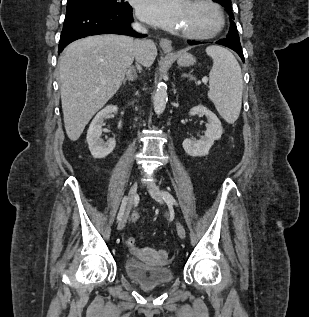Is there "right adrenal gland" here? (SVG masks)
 <instances>
[{"label": "right adrenal gland", "mask_w": 309, "mask_h": 317, "mask_svg": "<svg viewBox=\"0 0 309 317\" xmlns=\"http://www.w3.org/2000/svg\"><path fill=\"white\" fill-rule=\"evenodd\" d=\"M136 79V72L134 67H130L126 72V77L123 79V84L126 83V81H134Z\"/></svg>", "instance_id": "obj_1"}]
</instances>
